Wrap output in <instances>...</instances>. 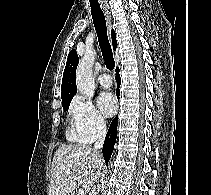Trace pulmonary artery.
I'll use <instances>...</instances> for the list:
<instances>
[{"instance_id":"e3ab8cb5","label":"pulmonary artery","mask_w":211,"mask_h":195,"mask_svg":"<svg viewBox=\"0 0 211 195\" xmlns=\"http://www.w3.org/2000/svg\"><path fill=\"white\" fill-rule=\"evenodd\" d=\"M98 82L103 88H110L112 86L111 77L106 73L98 77Z\"/></svg>"}]
</instances>
